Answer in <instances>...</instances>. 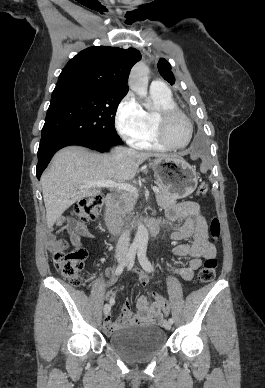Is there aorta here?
<instances>
[{"instance_id":"762f6f07","label":"aorta","mask_w":265,"mask_h":388,"mask_svg":"<svg viewBox=\"0 0 265 388\" xmlns=\"http://www.w3.org/2000/svg\"><path fill=\"white\" fill-rule=\"evenodd\" d=\"M148 72V67L143 62H140L132 68L129 76V87L131 90H133L138 96L145 98L146 101L149 100L147 98ZM144 106L149 107L150 103L146 102ZM148 238V231L140 222L137 227L133 244L137 247H145L147 246Z\"/></svg>"}]
</instances>
